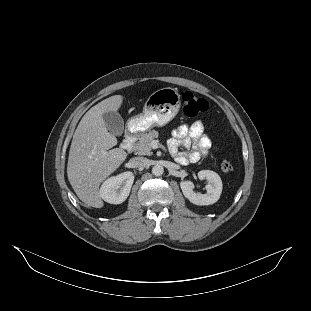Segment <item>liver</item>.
Returning <instances> with one entry per match:
<instances>
[{"instance_id": "liver-1", "label": "liver", "mask_w": 311, "mask_h": 311, "mask_svg": "<svg viewBox=\"0 0 311 311\" xmlns=\"http://www.w3.org/2000/svg\"><path fill=\"white\" fill-rule=\"evenodd\" d=\"M121 95H114L92 107L81 119L72 138L68 158V178L77 196L88 206L102 207L99 183L126 158L117 138L107 130L103 112L116 110Z\"/></svg>"}]
</instances>
